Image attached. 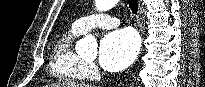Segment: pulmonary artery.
<instances>
[{
  "label": "pulmonary artery",
  "instance_id": "pulmonary-artery-1",
  "mask_svg": "<svg viewBox=\"0 0 205 87\" xmlns=\"http://www.w3.org/2000/svg\"><path fill=\"white\" fill-rule=\"evenodd\" d=\"M120 20L104 13H96L77 19L72 27L81 33H86L94 28L110 29L117 27Z\"/></svg>",
  "mask_w": 205,
  "mask_h": 87
}]
</instances>
